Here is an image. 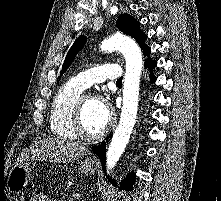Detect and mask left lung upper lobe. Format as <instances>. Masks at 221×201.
<instances>
[{"instance_id": "left-lung-upper-lobe-1", "label": "left lung upper lobe", "mask_w": 221, "mask_h": 201, "mask_svg": "<svg viewBox=\"0 0 221 201\" xmlns=\"http://www.w3.org/2000/svg\"><path fill=\"white\" fill-rule=\"evenodd\" d=\"M117 27L124 34L136 39V41L141 45L144 55H150L151 49L145 45V40L147 36L141 31L139 22L135 18H133L129 14H122L117 20ZM85 43L86 37L84 35L79 36V38L74 42L65 58L61 74H63L68 66L73 62L75 56L83 48ZM149 59L150 57H148L147 60Z\"/></svg>"}]
</instances>
